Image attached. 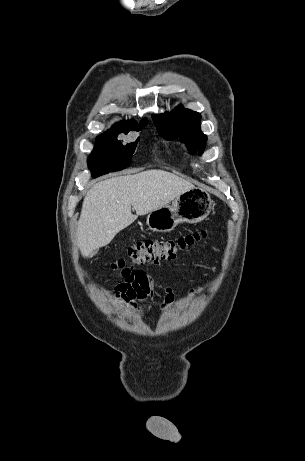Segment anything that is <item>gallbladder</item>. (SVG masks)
Here are the masks:
<instances>
[{
  "label": "gallbladder",
  "instance_id": "gallbladder-1",
  "mask_svg": "<svg viewBox=\"0 0 305 461\" xmlns=\"http://www.w3.org/2000/svg\"><path fill=\"white\" fill-rule=\"evenodd\" d=\"M98 253V250L93 251L92 255H96Z\"/></svg>",
  "mask_w": 305,
  "mask_h": 461
}]
</instances>
